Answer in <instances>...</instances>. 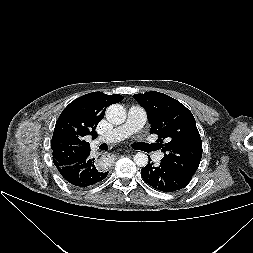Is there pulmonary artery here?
<instances>
[{
  "label": "pulmonary artery",
  "mask_w": 253,
  "mask_h": 253,
  "mask_svg": "<svg viewBox=\"0 0 253 253\" xmlns=\"http://www.w3.org/2000/svg\"><path fill=\"white\" fill-rule=\"evenodd\" d=\"M146 120V111L138 105H131L128 109L125 123L99 136L96 143H114L123 140L129 135L138 132L145 125ZM161 157V153H156L154 160L159 162Z\"/></svg>",
  "instance_id": "1"
}]
</instances>
